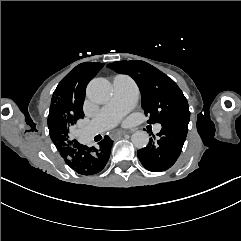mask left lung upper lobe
Masks as SVG:
<instances>
[{
	"label": "left lung upper lobe",
	"mask_w": 241,
	"mask_h": 241,
	"mask_svg": "<svg viewBox=\"0 0 241 241\" xmlns=\"http://www.w3.org/2000/svg\"><path fill=\"white\" fill-rule=\"evenodd\" d=\"M117 73L131 76L141 92V105L148 123L189 120L187 99L177 84L166 74L140 60L117 61L108 64Z\"/></svg>",
	"instance_id": "left-lung-upper-lobe-1"
}]
</instances>
